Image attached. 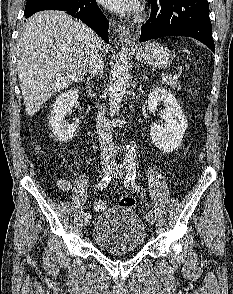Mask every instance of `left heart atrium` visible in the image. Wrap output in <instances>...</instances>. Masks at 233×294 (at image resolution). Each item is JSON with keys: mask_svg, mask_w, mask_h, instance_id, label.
<instances>
[{"mask_svg": "<svg viewBox=\"0 0 233 294\" xmlns=\"http://www.w3.org/2000/svg\"><path fill=\"white\" fill-rule=\"evenodd\" d=\"M104 7L122 14H132L139 9V0H98Z\"/></svg>", "mask_w": 233, "mask_h": 294, "instance_id": "left-heart-atrium-1", "label": "left heart atrium"}]
</instances>
